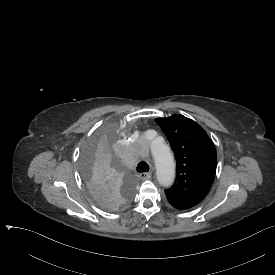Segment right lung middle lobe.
Here are the masks:
<instances>
[{
	"instance_id": "obj_1",
	"label": "right lung middle lobe",
	"mask_w": 275,
	"mask_h": 275,
	"mask_svg": "<svg viewBox=\"0 0 275 275\" xmlns=\"http://www.w3.org/2000/svg\"><path fill=\"white\" fill-rule=\"evenodd\" d=\"M119 144V131L112 125H100L83 149L84 181L94 202L106 211H117L136 199L133 178L116 167Z\"/></svg>"
}]
</instances>
